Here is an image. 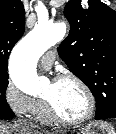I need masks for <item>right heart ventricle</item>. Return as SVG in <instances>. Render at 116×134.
Listing matches in <instances>:
<instances>
[{
  "label": "right heart ventricle",
  "mask_w": 116,
  "mask_h": 134,
  "mask_svg": "<svg viewBox=\"0 0 116 134\" xmlns=\"http://www.w3.org/2000/svg\"><path fill=\"white\" fill-rule=\"evenodd\" d=\"M33 117L40 122L47 123L52 120L51 116L48 113L46 105L43 101H39L36 111L33 113Z\"/></svg>",
  "instance_id": "right-heart-ventricle-1"
}]
</instances>
